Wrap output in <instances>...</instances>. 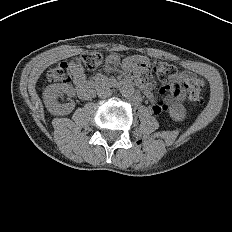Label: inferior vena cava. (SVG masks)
<instances>
[{"label":"inferior vena cava","mask_w":232,"mask_h":232,"mask_svg":"<svg viewBox=\"0 0 232 232\" xmlns=\"http://www.w3.org/2000/svg\"><path fill=\"white\" fill-rule=\"evenodd\" d=\"M111 94H112L111 89L105 86H101L97 90L98 97L103 99L109 97Z\"/></svg>","instance_id":"1"}]
</instances>
